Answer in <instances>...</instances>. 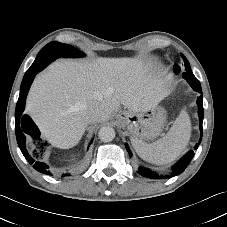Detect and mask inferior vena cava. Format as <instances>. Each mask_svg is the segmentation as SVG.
<instances>
[{
    "label": "inferior vena cava",
    "mask_w": 227,
    "mask_h": 227,
    "mask_svg": "<svg viewBox=\"0 0 227 227\" xmlns=\"http://www.w3.org/2000/svg\"><path fill=\"white\" fill-rule=\"evenodd\" d=\"M86 116L89 121H94L97 116V109L94 107H87L86 108Z\"/></svg>",
    "instance_id": "1"
}]
</instances>
